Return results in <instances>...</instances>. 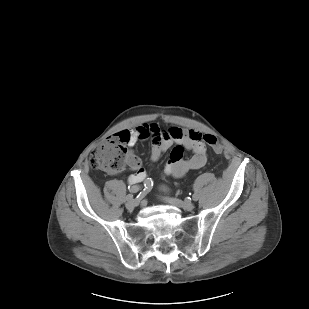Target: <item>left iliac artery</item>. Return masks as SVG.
<instances>
[{
  "mask_svg": "<svg viewBox=\"0 0 309 309\" xmlns=\"http://www.w3.org/2000/svg\"><path fill=\"white\" fill-rule=\"evenodd\" d=\"M192 199H193L194 201H197V200H198V195H197V194H193V195H192Z\"/></svg>",
  "mask_w": 309,
  "mask_h": 309,
  "instance_id": "obj_1",
  "label": "left iliac artery"
}]
</instances>
